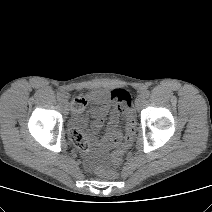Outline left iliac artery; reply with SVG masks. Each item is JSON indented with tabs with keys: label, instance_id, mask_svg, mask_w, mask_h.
I'll use <instances>...</instances> for the list:
<instances>
[{
	"label": "left iliac artery",
	"instance_id": "1",
	"mask_svg": "<svg viewBox=\"0 0 212 212\" xmlns=\"http://www.w3.org/2000/svg\"><path fill=\"white\" fill-rule=\"evenodd\" d=\"M142 95L145 97V98H148L149 95H150V91L149 90H144Z\"/></svg>",
	"mask_w": 212,
	"mask_h": 212
}]
</instances>
